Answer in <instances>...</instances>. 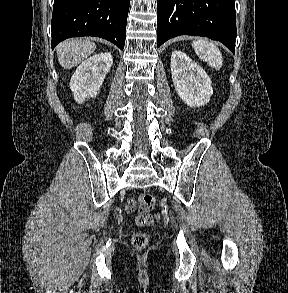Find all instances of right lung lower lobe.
Wrapping results in <instances>:
<instances>
[{
  "label": "right lung lower lobe",
  "instance_id": "1",
  "mask_svg": "<svg viewBox=\"0 0 288 293\" xmlns=\"http://www.w3.org/2000/svg\"><path fill=\"white\" fill-rule=\"evenodd\" d=\"M130 0H54L52 48L71 37L94 36L124 48Z\"/></svg>",
  "mask_w": 288,
  "mask_h": 293
}]
</instances>
